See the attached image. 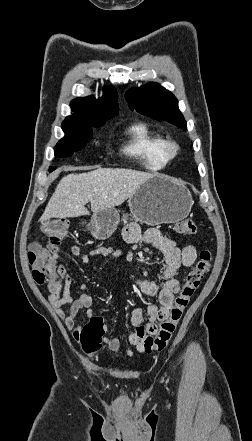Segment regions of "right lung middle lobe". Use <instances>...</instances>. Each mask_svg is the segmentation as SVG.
<instances>
[{
    "mask_svg": "<svg viewBox=\"0 0 252 441\" xmlns=\"http://www.w3.org/2000/svg\"><path fill=\"white\" fill-rule=\"evenodd\" d=\"M112 118V117H111ZM110 119V118H109ZM105 121L97 123L65 119L62 129L65 137L59 140L54 151L56 157H67L74 151L81 150L92 138V127H101ZM54 168L50 167L49 172Z\"/></svg>",
    "mask_w": 252,
    "mask_h": 441,
    "instance_id": "dd1d6c3e",
    "label": "right lung middle lobe"
}]
</instances>
